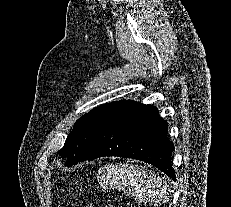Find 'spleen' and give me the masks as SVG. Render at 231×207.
Instances as JSON below:
<instances>
[{"label": "spleen", "mask_w": 231, "mask_h": 207, "mask_svg": "<svg viewBox=\"0 0 231 207\" xmlns=\"http://www.w3.org/2000/svg\"><path fill=\"white\" fill-rule=\"evenodd\" d=\"M102 170L104 185L117 188L138 202L157 204L169 200L168 185L143 166L120 163L104 166Z\"/></svg>", "instance_id": "obj_1"}]
</instances>
